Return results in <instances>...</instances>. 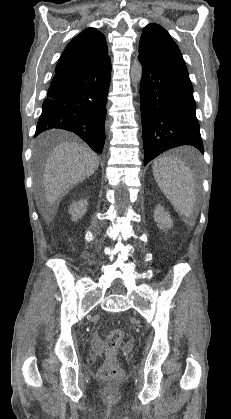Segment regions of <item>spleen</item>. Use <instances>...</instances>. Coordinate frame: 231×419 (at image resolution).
I'll return each instance as SVG.
<instances>
[{"mask_svg":"<svg viewBox=\"0 0 231 419\" xmlns=\"http://www.w3.org/2000/svg\"><path fill=\"white\" fill-rule=\"evenodd\" d=\"M153 176L176 211L189 218L195 205V182L190 168L174 156H161L152 166Z\"/></svg>","mask_w":231,"mask_h":419,"instance_id":"spleen-1","label":"spleen"}]
</instances>
